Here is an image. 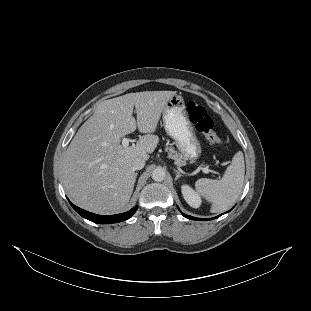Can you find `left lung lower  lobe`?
Here are the masks:
<instances>
[{
	"instance_id": "1",
	"label": "left lung lower lobe",
	"mask_w": 311,
	"mask_h": 311,
	"mask_svg": "<svg viewBox=\"0 0 311 311\" xmlns=\"http://www.w3.org/2000/svg\"><path fill=\"white\" fill-rule=\"evenodd\" d=\"M221 215H223V214H221ZM221 215H219V216H221ZM183 216L186 217V218L192 219V220H200V221L212 220V219H215V218L219 217V216H217V217H214V218H211V219H201V218H195V217H192V216H189V215H186V214H183Z\"/></svg>"
}]
</instances>
